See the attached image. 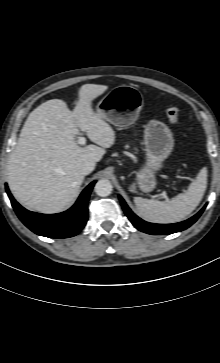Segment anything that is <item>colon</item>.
<instances>
[{"mask_svg": "<svg viewBox=\"0 0 220 363\" xmlns=\"http://www.w3.org/2000/svg\"><path fill=\"white\" fill-rule=\"evenodd\" d=\"M167 118L171 124H176L179 118V110L175 106H171L166 111Z\"/></svg>", "mask_w": 220, "mask_h": 363, "instance_id": "5ec220e1", "label": "colon"}]
</instances>
